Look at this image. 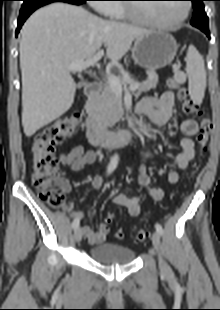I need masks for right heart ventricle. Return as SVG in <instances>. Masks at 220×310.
<instances>
[{
  "mask_svg": "<svg viewBox=\"0 0 220 310\" xmlns=\"http://www.w3.org/2000/svg\"><path fill=\"white\" fill-rule=\"evenodd\" d=\"M108 15L116 19H124L126 16L124 5H114V8L110 10Z\"/></svg>",
  "mask_w": 220,
  "mask_h": 310,
  "instance_id": "1",
  "label": "right heart ventricle"
}]
</instances>
